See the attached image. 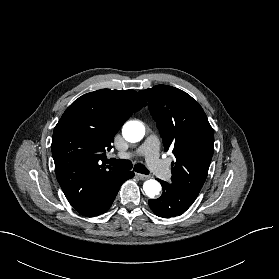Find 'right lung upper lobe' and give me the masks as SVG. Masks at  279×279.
<instances>
[{
  "instance_id": "cb5924a9",
  "label": "right lung upper lobe",
  "mask_w": 279,
  "mask_h": 279,
  "mask_svg": "<svg viewBox=\"0 0 279 279\" xmlns=\"http://www.w3.org/2000/svg\"><path fill=\"white\" fill-rule=\"evenodd\" d=\"M147 105L134 90L101 89L82 95L55 126L52 155L57 180L78 212L93 206L107 182L122 173L103 163L126 120Z\"/></svg>"
}]
</instances>
